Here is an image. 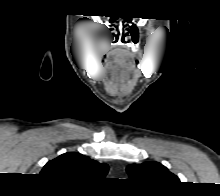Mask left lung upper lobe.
<instances>
[{
    "label": "left lung upper lobe",
    "mask_w": 220,
    "mask_h": 196,
    "mask_svg": "<svg viewBox=\"0 0 220 196\" xmlns=\"http://www.w3.org/2000/svg\"><path fill=\"white\" fill-rule=\"evenodd\" d=\"M127 172L131 180L152 187L169 188L180 182L177 176L169 172L165 166L158 162L132 164L127 167Z\"/></svg>",
    "instance_id": "obj_1"
}]
</instances>
